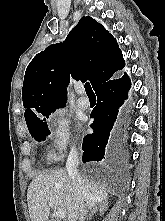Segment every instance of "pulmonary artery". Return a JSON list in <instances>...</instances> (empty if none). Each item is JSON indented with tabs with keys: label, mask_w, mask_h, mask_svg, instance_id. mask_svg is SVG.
Here are the masks:
<instances>
[{
	"label": "pulmonary artery",
	"mask_w": 165,
	"mask_h": 221,
	"mask_svg": "<svg viewBox=\"0 0 165 221\" xmlns=\"http://www.w3.org/2000/svg\"><path fill=\"white\" fill-rule=\"evenodd\" d=\"M77 92L80 95L79 98L77 99V106L82 110L88 109L90 106V102L87 97L83 96V94H84L83 86H79L77 89Z\"/></svg>",
	"instance_id": "e3ab8cb5"
}]
</instances>
